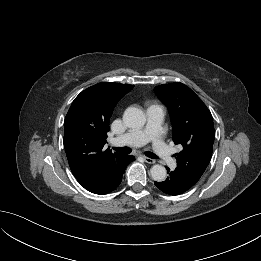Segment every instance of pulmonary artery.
<instances>
[{
	"instance_id": "e3ab8cb5",
	"label": "pulmonary artery",
	"mask_w": 261,
	"mask_h": 261,
	"mask_svg": "<svg viewBox=\"0 0 261 261\" xmlns=\"http://www.w3.org/2000/svg\"><path fill=\"white\" fill-rule=\"evenodd\" d=\"M164 116L165 111L163 107L158 105L150 106L147 110L146 126L115 138L113 144L138 147L152 141L153 150L162 163L171 167L174 166L175 161L170 148L159 137Z\"/></svg>"
}]
</instances>
